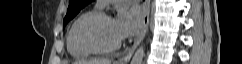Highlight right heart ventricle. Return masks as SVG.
<instances>
[{"label": "right heart ventricle", "mask_w": 242, "mask_h": 64, "mask_svg": "<svg viewBox=\"0 0 242 64\" xmlns=\"http://www.w3.org/2000/svg\"><path fill=\"white\" fill-rule=\"evenodd\" d=\"M101 12V8L99 7H95L94 9H91L89 11H86L84 13H82L81 15H79L75 21L72 23L68 34H67V38H66V44H67V50L70 53V55H72L75 58H85L88 57L90 55H92L93 53L86 51L85 49H83L82 47L79 46V44L76 41V37H75V33H76V29L79 26V24L88 16L95 14V13H99Z\"/></svg>", "instance_id": "obj_1"}]
</instances>
